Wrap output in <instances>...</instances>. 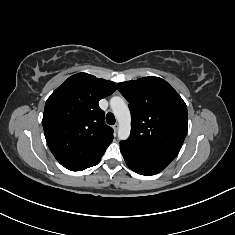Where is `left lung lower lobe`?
<instances>
[{
    "label": "left lung lower lobe",
    "instance_id": "0a47b994",
    "mask_svg": "<svg viewBox=\"0 0 235 235\" xmlns=\"http://www.w3.org/2000/svg\"><path fill=\"white\" fill-rule=\"evenodd\" d=\"M120 150L127 166L134 172L141 175L157 174L169 165V163L165 161L133 150L123 142H120Z\"/></svg>",
    "mask_w": 235,
    "mask_h": 235
}]
</instances>
